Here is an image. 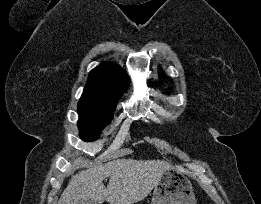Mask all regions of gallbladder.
Here are the masks:
<instances>
[{
	"label": "gallbladder",
	"mask_w": 261,
	"mask_h": 204,
	"mask_svg": "<svg viewBox=\"0 0 261 204\" xmlns=\"http://www.w3.org/2000/svg\"><path fill=\"white\" fill-rule=\"evenodd\" d=\"M78 204H97L93 199H81Z\"/></svg>",
	"instance_id": "gallbladder-1"
}]
</instances>
